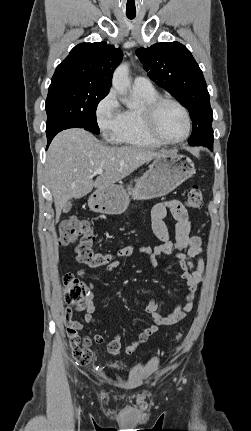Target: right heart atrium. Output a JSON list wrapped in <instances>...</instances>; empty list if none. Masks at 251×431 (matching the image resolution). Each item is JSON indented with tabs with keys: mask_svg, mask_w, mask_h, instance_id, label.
<instances>
[{
	"mask_svg": "<svg viewBox=\"0 0 251 431\" xmlns=\"http://www.w3.org/2000/svg\"><path fill=\"white\" fill-rule=\"evenodd\" d=\"M95 119L101 133L108 139H114L123 122V110L116 93L110 90L102 97L95 108Z\"/></svg>",
	"mask_w": 251,
	"mask_h": 431,
	"instance_id": "d8ad5b80",
	"label": "right heart atrium"
}]
</instances>
